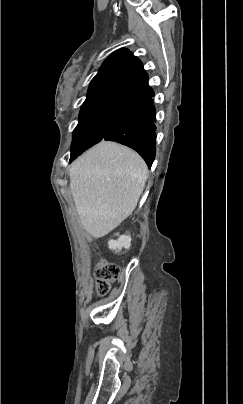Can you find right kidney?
Masks as SVG:
<instances>
[{"label": "right kidney", "instance_id": "ca27d5eb", "mask_svg": "<svg viewBox=\"0 0 243 404\" xmlns=\"http://www.w3.org/2000/svg\"><path fill=\"white\" fill-rule=\"evenodd\" d=\"M116 236H118V234H116ZM130 246V236H119L118 240H109L108 242L109 250H115V252H121L122 248L129 250Z\"/></svg>", "mask_w": 243, "mask_h": 404}]
</instances>
